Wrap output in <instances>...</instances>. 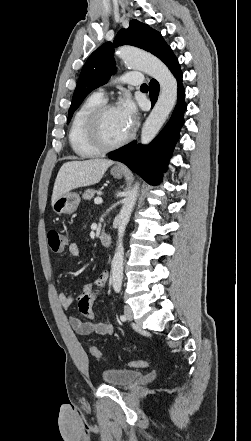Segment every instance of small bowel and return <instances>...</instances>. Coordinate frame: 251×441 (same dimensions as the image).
I'll return each instance as SVG.
<instances>
[{
	"instance_id": "1",
	"label": "small bowel",
	"mask_w": 251,
	"mask_h": 441,
	"mask_svg": "<svg viewBox=\"0 0 251 441\" xmlns=\"http://www.w3.org/2000/svg\"><path fill=\"white\" fill-rule=\"evenodd\" d=\"M69 254L72 257L80 256V248L76 243L68 246ZM109 281L108 272L104 271L98 275L94 283L84 284L81 287L80 294L76 301L79 311L87 320H82L78 316H70L69 323L71 327L80 335L86 336L90 334L111 335L114 332L113 325L108 320L95 321L94 302L104 294V288ZM60 305L68 309L73 303V297L69 292H62L58 295Z\"/></svg>"
}]
</instances>
